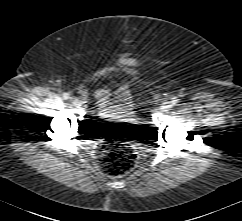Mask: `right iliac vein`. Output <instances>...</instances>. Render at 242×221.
Listing matches in <instances>:
<instances>
[{
  "instance_id": "1",
  "label": "right iliac vein",
  "mask_w": 242,
  "mask_h": 221,
  "mask_svg": "<svg viewBox=\"0 0 242 221\" xmlns=\"http://www.w3.org/2000/svg\"><path fill=\"white\" fill-rule=\"evenodd\" d=\"M72 104L74 106H78L79 105V101L77 99H72Z\"/></svg>"
}]
</instances>
